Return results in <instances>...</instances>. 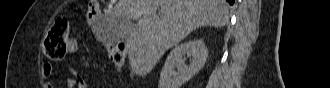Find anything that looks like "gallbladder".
<instances>
[{
	"mask_svg": "<svg viewBox=\"0 0 330 88\" xmlns=\"http://www.w3.org/2000/svg\"><path fill=\"white\" fill-rule=\"evenodd\" d=\"M134 29L133 21H111V18L104 21L102 39L108 44H115L123 41L128 33Z\"/></svg>",
	"mask_w": 330,
	"mask_h": 88,
	"instance_id": "obj_1",
	"label": "gallbladder"
}]
</instances>
